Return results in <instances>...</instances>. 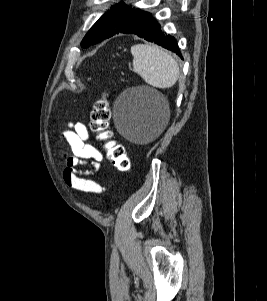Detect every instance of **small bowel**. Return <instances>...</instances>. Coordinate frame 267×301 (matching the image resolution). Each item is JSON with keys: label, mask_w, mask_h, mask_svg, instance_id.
Segmentation results:
<instances>
[{"label": "small bowel", "mask_w": 267, "mask_h": 301, "mask_svg": "<svg viewBox=\"0 0 267 301\" xmlns=\"http://www.w3.org/2000/svg\"><path fill=\"white\" fill-rule=\"evenodd\" d=\"M62 137L67 142L72 156L65 159L63 179L72 189L101 194L106 186L90 179L103 162V155L91 143L90 133L87 126L82 122L66 124V129L62 132ZM91 165L92 169H81V167Z\"/></svg>", "instance_id": "obj_1"}]
</instances>
